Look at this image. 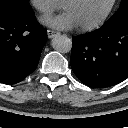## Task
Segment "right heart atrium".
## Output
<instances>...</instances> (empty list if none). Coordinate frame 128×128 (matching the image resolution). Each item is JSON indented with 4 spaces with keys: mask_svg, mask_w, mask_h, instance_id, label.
<instances>
[{
    "mask_svg": "<svg viewBox=\"0 0 128 128\" xmlns=\"http://www.w3.org/2000/svg\"><path fill=\"white\" fill-rule=\"evenodd\" d=\"M31 5L41 14L48 15L60 5L59 0H30Z\"/></svg>",
    "mask_w": 128,
    "mask_h": 128,
    "instance_id": "obj_1",
    "label": "right heart atrium"
}]
</instances>
